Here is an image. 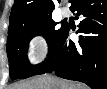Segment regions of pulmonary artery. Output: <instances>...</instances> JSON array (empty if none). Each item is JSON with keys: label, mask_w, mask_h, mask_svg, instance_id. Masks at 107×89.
<instances>
[{"label": "pulmonary artery", "mask_w": 107, "mask_h": 89, "mask_svg": "<svg viewBox=\"0 0 107 89\" xmlns=\"http://www.w3.org/2000/svg\"><path fill=\"white\" fill-rule=\"evenodd\" d=\"M61 14H62L63 17H68L69 14H70V11H69L68 8H62L61 9Z\"/></svg>", "instance_id": "e3ab8cb5"}]
</instances>
